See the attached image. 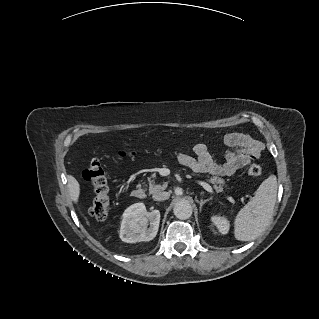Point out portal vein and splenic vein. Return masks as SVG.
Returning <instances> with one entry per match:
<instances>
[{
	"label": "portal vein and splenic vein",
	"mask_w": 319,
	"mask_h": 319,
	"mask_svg": "<svg viewBox=\"0 0 319 319\" xmlns=\"http://www.w3.org/2000/svg\"><path fill=\"white\" fill-rule=\"evenodd\" d=\"M197 183L200 184L206 191H208L210 193H214L212 187L208 183H206L204 181H197Z\"/></svg>",
	"instance_id": "1"
}]
</instances>
